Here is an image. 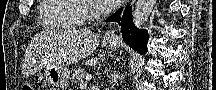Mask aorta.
Returning a JSON list of instances; mask_svg holds the SVG:
<instances>
[{
  "mask_svg": "<svg viewBox=\"0 0 216 90\" xmlns=\"http://www.w3.org/2000/svg\"><path fill=\"white\" fill-rule=\"evenodd\" d=\"M154 6H155V0H137L135 10L132 14L133 24L135 28H138V30H142Z\"/></svg>",
  "mask_w": 216,
  "mask_h": 90,
  "instance_id": "obj_1",
  "label": "aorta"
}]
</instances>
